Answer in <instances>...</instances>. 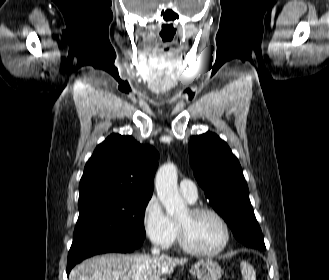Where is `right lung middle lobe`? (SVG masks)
Here are the masks:
<instances>
[{"label":"right lung middle lobe","mask_w":329,"mask_h":280,"mask_svg":"<svg viewBox=\"0 0 329 280\" xmlns=\"http://www.w3.org/2000/svg\"><path fill=\"white\" fill-rule=\"evenodd\" d=\"M150 198L128 195L79 202V217L68 261L98 243L139 248L146 236L144 211Z\"/></svg>","instance_id":"obj_1"}]
</instances>
